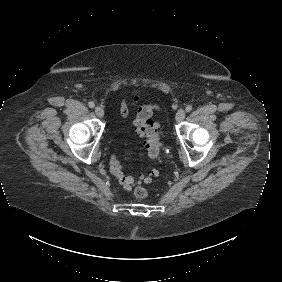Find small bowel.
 Wrapping results in <instances>:
<instances>
[{"instance_id":"obj_1","label":"small bowel","mask_w":282,"mask_h":282,"mask_svg":"<svg viewBox=\"0 0 282 282\" xmlns=\"http://www.w3.org/2000/svg\"><path fill=\"white\" fill-rule=\"evenodd\" d=\"M139 100V94H133L130 97H124L120 102V114L123 117H127L130 112L137 106Z\"/></svg>"}]
</instances>
